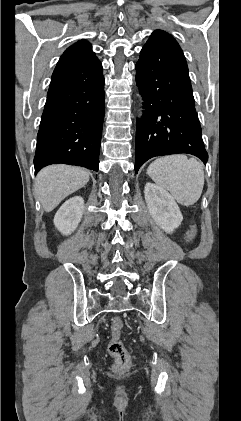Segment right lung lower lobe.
I'll return each instance as SVG.
<instances>
[{
	"label": "right lung lower lobe",
	"instance_id": "right-lung-lower-lobe-1",
	"mask_svg": "<svg viewBox=\"0 0 241 421\" xmlns=\"http://www.w3.org/2000/svg\"><path fill=\"white\" fill-rule=\"evenodd\" d=\"M104 112L97 57L54 73L37 135L35 173L55 163L98 171Z\"/></svg>",
	"mask_w": 241,
	"mask_h": 421
}]
</instances>
